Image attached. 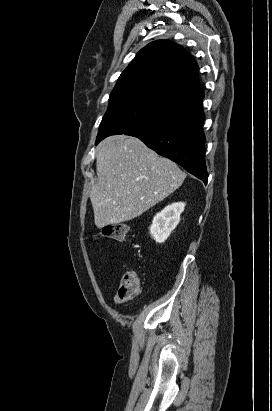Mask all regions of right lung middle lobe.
<instances>
[{"instance_id": "obj_1", "label": "right lung middle lobe", "mask_w": 272, "mask_h": 411, "mask_svg": "<svg viewBox=\"0 0 272 411\" xmlns=\"http://www.w3.org/2000/svg\"><path fill=\"white\" fill-rule=\"evenodd\" d=\"M97 137L126 134L180 108L145 91L112 92Z\"/></svg>"}]
</instances>
